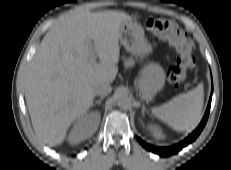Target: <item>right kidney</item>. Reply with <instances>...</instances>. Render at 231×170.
<instances>
[{
    "mask_svg": "<svg viewBox=\"0 0 231 170\" xmlns=\"http://www.w3.org/2000/svg\"><path fill=\"white\" fill-rule=\"evenodd\" d=\"M99 122L100 114L98 112H91L79 117L69 133L68 141L77 144L87 139L97 130Z\"/></svg>",
    "mask_w": 231,
    "mask_h": 170,
    "instance_id": "right-kidney-1",
    "label": "right kidney"
}]
</instances>
